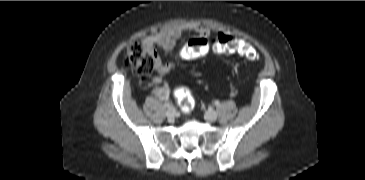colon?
<instances>
[{
  "label": "colon",
  "mask_w": 365,
  "mask_h": 180,
  "mask_svg": "<svg viewBox=\"0 0 365 180\" xmlns=\"http://www.w3.org/2000/svg\"><path fill=\"white\" fill-rule=\"evenodd\" d=\"M212 50L216 54H238L248 60H255L258 54L254 47L241 39L227 34H219L212 39L193 38L182 49L184 59H197ZM125 63L128 69L147 76L157 64L155 51L140 41H133L125 48ZM176 97L183 113H189L194 107V98L187 88L181 86L176 90Z\"/></svg>",
  "instance_id": "obj_1"
}]
</instances>
